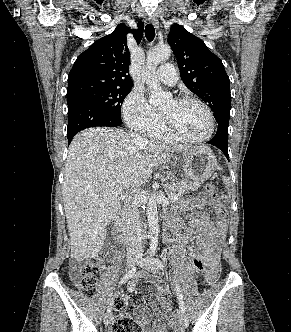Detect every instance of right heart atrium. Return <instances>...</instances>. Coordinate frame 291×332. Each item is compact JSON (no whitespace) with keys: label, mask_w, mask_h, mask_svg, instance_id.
Returning <instances> with one entry per match:
<instances>
[{"label":"right heart atrium","mask_w":291,"mask_h":332,"mask_svg":"<svg viewBox=\"0 0 291 332\" xmlns=\"http://www.w3.org/2000/svg\"><path fill=\"white\" fill-rule=\"evenodd\" d=\"M122 114L127 126L148 134L162 125L159 113L148 103L143 93L133 90L123 103Z\"/></svg>","instance_id":"d8ad5b80"}]
</instances>
